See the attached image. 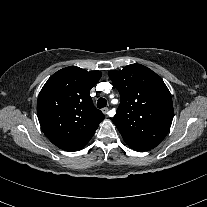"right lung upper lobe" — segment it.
I'll list each match as a JSON object with an SVG mask.
<instances>
[{
    "mask_svg": "<svg viewBox=\"0 0 207 207\" xmlns=\"http://www.w3.org/2000/svg\"><path fill=\"white\" fill-rule=\"evenodd\" d=\"M100 71L70 66L53 74L37 101L39 123L47 138L66 151L81 150L92 138L104 114L95 108L90 89Z\"/></svg>",
    "mask_w": 207,
    "mask_h": 207,
    "instance_id": "obj_1",
    "label": "right lung upper lobe"
}]
</instances>
